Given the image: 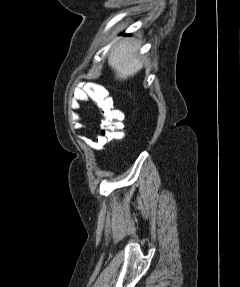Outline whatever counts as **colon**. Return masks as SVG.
Segmentation results:
<instances>
[{
	"mask_svg": "<svg viewBox=\"0 0 240 287\" xmlns=\"http://www.w3.org/2000/svg\"><path fill=\"white\" fill-rule=\"evenodd\" d=\"M90 95L95 100L98 108L103 114L101 122V135L106 141H120L124 137L123 133V114L114 107L111 98L104 96L99 90L91 89Z\"/></svg>",
	"mask_w": 240,
	"mask_h": 287,
	"instance_id": "colon-1",
	"label": "colon"
}]
</instances>
